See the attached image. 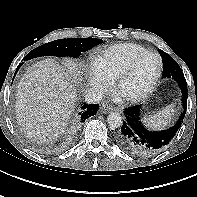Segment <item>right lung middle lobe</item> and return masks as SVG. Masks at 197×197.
Returning a JSON list of instances; mask_svg holds the SVG:
<instances>
[{
  "mask_svg": "<svg viewBox=\"0 0 197 197\" xmlns=\"http://www.w3.org/2000/svg\"><path fill=\"white\" fill-rule=\"evenodd\" d=\"M102 42L103 40L97 38L58 39L33 49L26 55L25 60L47 55L77 57L81 52H85Z\"/></svg>",
  "mask_w": 197,
  "mask_h": 197,
  "instance_id": "1",
  "label": "right lung middle lobe"
}]
</instances>
